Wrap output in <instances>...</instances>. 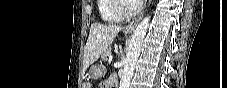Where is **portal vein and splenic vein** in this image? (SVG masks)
Segmentation results:
<instances>
[{"label": "portal vein and splenic vein", "instance_id": "obj_1", "mask_svg": "<svg viewBox=\"0 0 227 88\" xmlns=\"http://www.w3.org/2000/svg\"><path fill=\"white\" fill-rule=\"evenodd\" d=\"M112 59H113V56H109L108 58L109 63L112 61Z\"/></svg>", "mask_w": 227, "mask_h": 88}]
</instances>
